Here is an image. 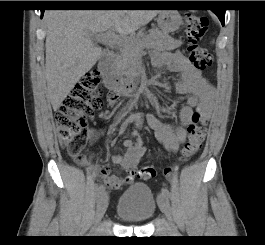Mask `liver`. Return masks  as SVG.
I'll use <instances>...</instances> for the list:
<instances>
[{
    "label": "liver",
    "instance_id": "obj_1",
    "mask_svg": "<svg viewBox=\"0 0 265 245\" xmlns=\"http://www.w3.org/2000/svg\"><path fill=\"white\" fill-rule=\"evenodd\" d=\"M160 10H49L44 14L47 26L45 75L47 93L56 111L75 84L99 60L102 48L93 35L115 30L133 34L148 24Z\"/></svg>",
    "mask_w": 265,
    "mask_h": 245
}]
</instances>
